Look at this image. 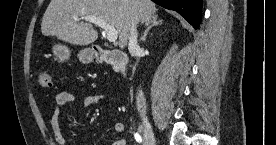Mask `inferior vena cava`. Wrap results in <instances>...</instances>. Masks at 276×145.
<instances>
[{
    "label": "inferior vena cava",
    "instance_id": "obj_1",
    "mask_svg": "<svg viewBox=\"0 0 276 145\" xmlns=\"http://www.w3.org/2000/svg\"><path fill=\"white\" fill-rule=\"evenodd\" d=\"M138 33L136 29V24H132L130 30V37L128 43V49L132 56H137L138 52L140 51V47L138 45ZM136 105L137 110L141 115L146 113V99L142 90H138L136 95Z\"/></svg>",
    "mask_w": 276,
    "mask_h": 145
}]
</instances>
